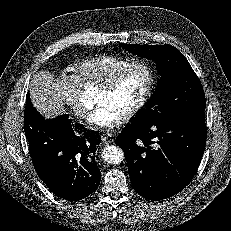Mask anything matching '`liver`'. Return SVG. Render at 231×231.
Instances as JSON below:
<instances>
[{"label":"liver","mask_w":231,"mask_h":231,"mask_svg":"<svg viewBox=\"0 0 231 231\" xmlns=\"http://www.w3.org/2000/svg\"><path fill=\"white\" fill-rule=\"evenodd\" d=\"M30 97L34 107L46 118H55L65 112L57 79L48 71L33 76Z\"/></svg>","instance_id":"1"}]
</instances>
